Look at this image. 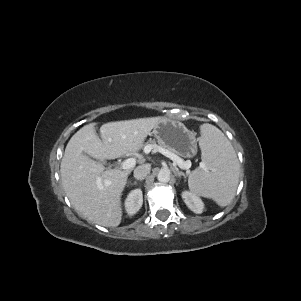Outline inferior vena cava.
I'll return each instance as SVG.
<instances>
[{"instance_id": "602c4592", "label": "inferior vena cava", "mask_w": 301, "mask_h": 301, "mask_svg": "<svg viewBox=\"0 0 301 301\" xmlns=\"http://www.w3.org/2000/svg\"><path fill=\"white\" fill-rule=\"evenodd\" d=\"M150 165L148 164H143L138 166L135 170H134V177L137 180H143L147 177V175L150 173Z\"/></svg>"}]
</instances>
